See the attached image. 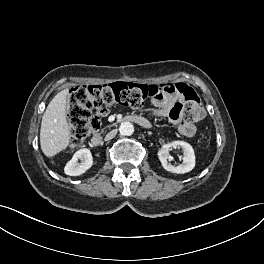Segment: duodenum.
Masks as SVG:
<instances>
[{
  "label": "duodenum",
  "mask_w": 264,
  "mask_h": 264,
  "mask_svg": "<svg viewBox=\"0 0 264 264\" xmlns=\"http://www.w3.org/2000/svg\"><path fill=\"white\" fill-rule=\"evenodd\" d=\"M126 120L134 122L144 128H149L151 126V122L148 119L138 115H129L126 117ZM90 142L93 146H99L103 142V137L100 133H95L91 137Z\"/></svg>",
  "instance_id": "410a0bca"
}]
</instances>
